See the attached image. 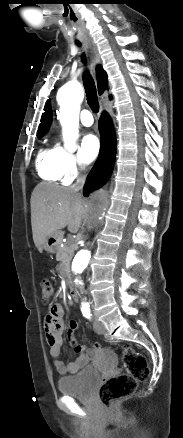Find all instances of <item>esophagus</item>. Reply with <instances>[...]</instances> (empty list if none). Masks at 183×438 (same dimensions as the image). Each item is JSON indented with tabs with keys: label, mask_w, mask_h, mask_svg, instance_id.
I'll return each mask as SVG.
<instances>
[{
	"label": "esophagus",
	"mask_w": 183,
	"mask_h": 438,
	"mask_svg": "<svg viewBox=\"0 0 183 438\" xmlns=\"http://www.w3.org/2000/svg\"><path fill=\"white\" fill-rule=\"evenodd\" d=\"M86 47L89 49L90 51V70H91V74L93 75V77H95V72H96V66L98 64H100L101 59H100V55L97 52L96 48L94 47V45L90 42L86 43ZM103 111V107L102 105H100V113H102Z\"/></svg>",
	"instance_id": "obj_1"
}]
</instances>
